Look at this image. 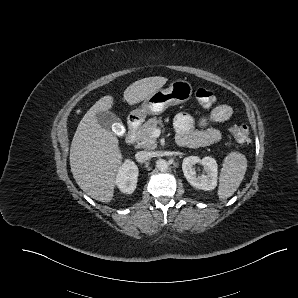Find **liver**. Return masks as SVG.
Listing matches in <instances>:
<instances>
[{
  "mask_svg": "<svg viewBox=\"0 0 298 298\" xmlns=\"http://www.w3.org/2000/svg\"><path fill=\"white\" fill-rule=\"evenodd\" d=\"M166 77L153 76L132 83L124 99L134 104L161 88ZM111 97L98 100L81 119L70 147V168L80 188L92 198L108 202L112 198L115 174L121 163L118 140L102 128L95 118L100 110L111 106Z\"/></svg>",
  "mask_w": 298,
  "mask_h": 298,
  "instance_id": "obj_1",
  "label": "liver"
}]
</instances>
